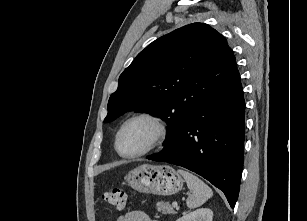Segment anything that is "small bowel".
Segmentation results:
<instances>
[{
  "mask_svg": "<svg viewBox=\"0 0 307 221\" xmlns=\"http://www.w3.org/2000/svg\"><path fill=\"white\" fill-rule=\"evenodd\" d=\"M116 221H158L150 218L144 212L139 210H132L125 214L119 215Z\"/></svg>",
  "mask_w": 307,
  "mask_h": 221,
  "instance_id": "c3829d8e",
  "label": "small bowel"
}]
</instances>
